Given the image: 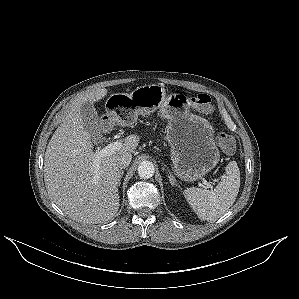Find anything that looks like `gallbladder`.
I'll return each mask as SVG.
<instances>
[{"label": "gallbladder", "instance_id": "1", "mask_svg": "<svg viewBox=\"0 0 299 299\" xmlns=\"http://www.w3.org/2000/svg\"><path fill=\"white\" fill-rule=\"evenodd\" d=\"M82 124L84 129L90 134L91 139L101 141L100 119L93 105L86 102L81 108Z\"/></svg>", "mask_w": 299, "mask_h": 299}]
</instances>
